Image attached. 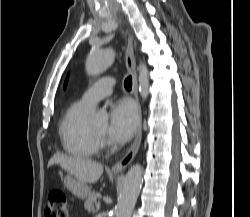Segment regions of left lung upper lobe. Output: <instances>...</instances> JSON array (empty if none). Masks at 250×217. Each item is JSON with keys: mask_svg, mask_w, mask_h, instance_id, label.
Wrapping results in <instances>:
<instances>
[{"mask_svg": "<svg viewBox=\"0 0 250 217\" xmlns=\"http://www.w3.org/2000/svg\"><path fill=\"white\" fill-rule=\"evenodd\" d=\"M66 85H67V80L65 81L64 88L66 87Z\"/></svg>", "mask_w": 250, "mask_h": 217, "instance_id": "5c2ea615", "label": "left lung upper lobe"}]
</instances>
